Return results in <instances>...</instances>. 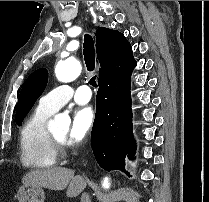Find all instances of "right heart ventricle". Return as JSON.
<instances>
[{
  "label": "right heart ventricle",
  "mask_w": 209,
  "mask_h": 202,
  "mask_svg": "<svg viewBox=\"0 0 209 202\" xmlns=\"http://www.w3.org/2000/svg\"><path fill=\"white\" fill-rule=\"evenodd\" d=\"M53 112L37 107L25 120L20 131L19 150L23 165L35 169L50 168L56 164L58 152L46 129Z\"/></svg>",
  "instance_id": "right-heart-ventricle-1"
}]
</instances>
